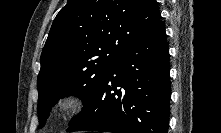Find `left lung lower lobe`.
I'll return each instance as SVG.
<instances>
[{
  "label": "left lung lower lobe",
  "mask_w": 221,
  "mask_h": 133,
  "mask_svg": "<svg viewBox=\"0 0 221 133\" xmlns=\"http://www.w3.org/2000/svg\"><path fill=\"white\" fill-rule=\"evenodd\" d=\"M169 73V48L159 19L124 48L67 131L167 133Z\"/></svg>",
  "instance_id": "0a47b994"
}]
</instances>
